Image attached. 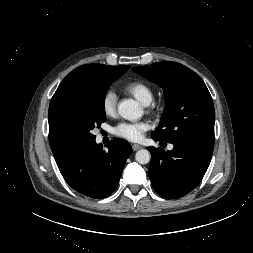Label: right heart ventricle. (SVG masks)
Here are the masks:
<instances>
[{
    "mask_svg": "<svg viewBox=\"0 0 253 253\" xmlns=\"http://www.w3.org/2000/svg\"><path fill=\"white\" fill-rule=\"evenodd\" d=\"M124 91L132 95L141 104L148 105L153 100V89L144 81L136 80L125 85Z\"/></svg>",
    "mask_w": 253,
    "mask_h": 253,
    "instance_id": "e07e8e85",
    "label": "right heart ventricle"
}]
</instances>
